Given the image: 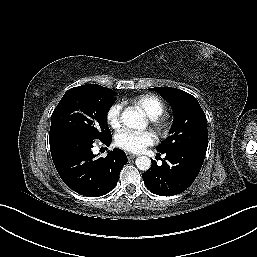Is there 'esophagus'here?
Instances as JSON below:
<instances>
[{"label": "esophagus", "instance_id": "obj_1", "mask_svg": "<svg viewBox=\"0 0 257 257\" xmlns=\"http://www.w3.org/2000/svg\"><path fill=\"white\" fill-rule=\"evenodd\" d=\"M126 155L128 159H134L137 157L135 154H132V153H127Z\"/></svg>", "mask_w": 257, "mask_h": 257}]
</instances>
